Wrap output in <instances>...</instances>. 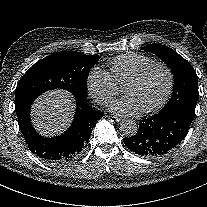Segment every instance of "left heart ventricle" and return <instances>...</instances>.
Listing matches in <instances>:
<instances>
[{
	"label": "left heart ventricle",
	"mask_w": 207,
	"mask_h": 207,
	"mask_svg": "<svg viewBox=\"0 0 207 207\" xmlns=\"http://www.w3.org/2000/svg\"><path fill=\"white\" fill-rule=\"evenodd\" d=\"M167 85V73L160 67H154L139 82L124 86L123 92L142 112L159 104L166 92Z\"/></svg>",
	"instance_id": "b2bd125f"
}]
</instances>
